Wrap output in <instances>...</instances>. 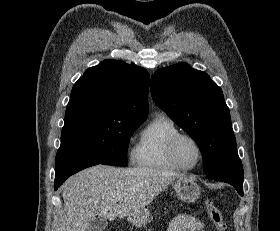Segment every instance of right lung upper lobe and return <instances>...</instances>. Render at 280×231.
Returning a JSON list of instances; mask_svg holds the SVG:
<instances>
[{
    "label": "right lung upper lobe",
    "mask_w": 280,
    "mask_h": 231,
    "mask_svg": "<svg viewBox=\"0 0 280 231\" xmlns=\"http://www.w3.org/2000/svg\"><path fill=\"white\" fill-rule=\"evenodd\" d=\"M149 73L117 60L87 69L74 84L65 119L116 118L144 121L148 114Z\"/></svg>",
    "instance_id": "1"
}]
</instances>
